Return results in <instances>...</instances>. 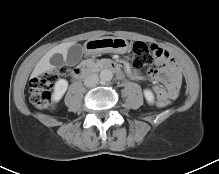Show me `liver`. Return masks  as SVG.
I'll return each instance as SVG.
<instances>
[{"instance_id":"6515ba94","label":"liver","mask_w":219,"mask_h":174,"mask_svg":"<svg viewBox=\"0 0 219 174\" xmlns=\"http://www.w3.org/2000/svg\"><path fill=\"white\" fill-rule=\"evenodd\" d=\"M73 45L72 42L60 44L50 51H48L37 63L36 67L34 68L31 77H37L42 73L49 71L54 68V66L50 63V58L54 54H62L64 59L67 56L68 49Z\"/></svg>"}]
</instances>
